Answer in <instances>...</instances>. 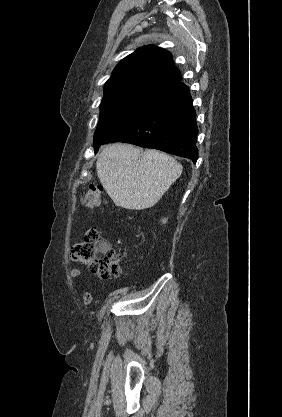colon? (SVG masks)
Segmentation results:
<instances>
[{"label": "colon", "mask_w": 282, "mask_h": 417, "mask_svg": "<svg viewBox=\"0 0 282 417\" xmlns=\"http://www.w3.org/2000/svg\"><path fill=\"white\" fill-rule=\"evenodd\" d=\"M82 204L90 209L102 204V188L90 186L82 198ZM72 259L100 276H118L122 271L124 257L115 255L108 242L97 230L86 233L83 241L74 244Z\"/></svg>", "instance_id": "1"}]
</instances>
